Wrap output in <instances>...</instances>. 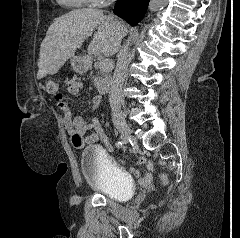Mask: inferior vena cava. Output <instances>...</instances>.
I'll return each mask as SVG.
<instances>
[{
    "mask_svg": "<svg viewBox=\"0 0 240 238\" xmlns=\"http://www.w3.org/2000/svg\"><path fill=\"white\" fill-rule=\"evenodd\" d=\"M111 17L115 20L113 16ZM129 63L128 46L124 45L118 55V61L109 91V102L114 117H119L121 114V91Z\"/></svg>",
    "mask_w": 240,
    "mask_h": 238,
    "instance_id": "obj_1",
    "label": "inferior vena cava"
}]
</instances>
